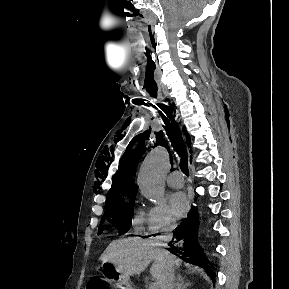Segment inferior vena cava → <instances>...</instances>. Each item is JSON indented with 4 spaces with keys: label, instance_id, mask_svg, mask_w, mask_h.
Segmentation results:
<instances>
[{
    "label": "inferior vena cava",
    "instance_id": "obj_1",
    "mask_svg": "<svg viewBox=\"0 0 289 289\" xmlns=\"http://www.w3.org/2000/svg\"><path fill=\"white\" fill-rule=\"evenodd\" d=\"M175 227L176 225L174 223L164 227V232L166 234V236L163 237L164 240H170L172 238V231ZM174 280V270L172 266L170 264H165L159 283L160 289H173Z\"/></svg>",
    "mask_w": 289,
    "mask_h": 289
}]
</instances>
